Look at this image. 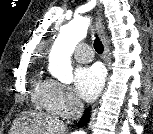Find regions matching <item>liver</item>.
I'll use <instances>...</instances> for the list:
<instances>
[{
  "label": "liver",
  "instance_id": "1",
  "mask_svg": "<svg viewBox=\"0 0 153 134\" xmlns=\"http://www.w3.org/2000/svg\"><path fill=\"white\" fill-rule=\"evenodd\" d=\"M25 117H30V124L27 121L24 126H21V128L17 131L21 134H26V132H30L31 134L33 132H45V134L51 132V134H53L57 132L62 133L65 130V126L63 124L57 122V120H54L50 116H46L41 113H31L29 116Z\"/></svg>",
  "mask_w": 153,
  "mask_h": 134
}]
</instances>
